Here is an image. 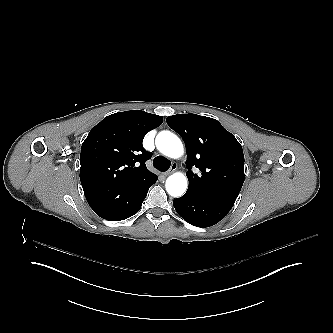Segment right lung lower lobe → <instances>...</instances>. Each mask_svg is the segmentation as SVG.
<instances>
[{
  "label": "right lung lower lobe",
  "mask_w": 333,
  "mask_h": 333,
  "mask_svg": "<svg viewBox=\"0 0 333 333\" xmlns=\"http://www.w3.org/2000/svg\"><path fill=\"white\" fill-rule=\"evenodd\" d=\"M157 181L153 173L113 180L99 174L84 176L81 184L92 210L109 221H120L137 213L151 185Z\"/></svg>",
  "instance_id": "obj_1"
}]
</instances>
